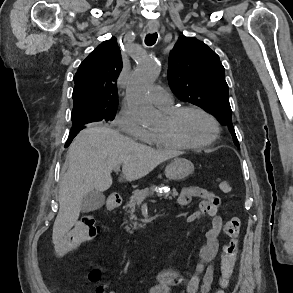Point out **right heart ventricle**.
Segmentation results:
<instances>
[{"label": "right heart ventricle", "mask_w": 293, "mask_h": 293, "mask_svg": "<svg viewBox=\"0 0 293 293\" xmlns=\"http://www.w3.org/2000/svg\"><path fill=\"white\" fill-rule=\"evenodd\" d=\"M172 109L166 110L167 112L171 111ZM151 146L156 147L158 149L163 150H180L182 149L181 146L175 144L174 142L168 140L160 133H153L150 141L148 142Z\"/></svg>", "instance_id": "e07e8e85"}]
</instances>
